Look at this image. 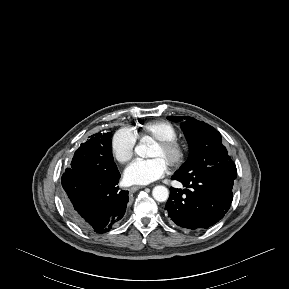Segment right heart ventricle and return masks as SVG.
I'll use <instances>...</instances> for the list:
<instances>
[{
  "mask_svg": "<svg viewBox=\"0 0 289 289\" xmlns=\"http://www.w3.org/2000/svg\"><path fill=\"white\" fill-rule=\"evenodd\" d=\"M132 132L136 138L152 142L177 138L175 127L171 123L162 120L145 122L135 127Z\"/></svg>",
  "mask_w": 289,
  "mask_h": 289,
  "instance_id": "obj_1",
  "label": "right heart ventricle"
}]
</instances>
